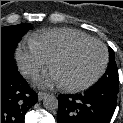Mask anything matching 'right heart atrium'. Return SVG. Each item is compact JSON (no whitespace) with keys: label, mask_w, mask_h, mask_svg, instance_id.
Instances as JSON below:
<instances>
[{"label":"right heart atrium","mask_w":123,"mask_h":123,"mask_svg":"<svg viewBox=\"0 0 123 123\" xmlns=\"http://www.w3.org/2000/svg\"><path fill=\"white\" fill-rule=\"evenodd\" d=\"M15 57L20 71L27 78L36 77L50 64V61L30 43L20 44L16 49Z\"/></svg>","instance_id":"1"}]
</instances>
